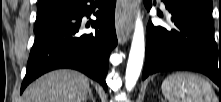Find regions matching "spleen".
I'll return each mask as SVG.
<instances>
[{
    "label": "spleen",
    "instance_id": "obj_1",
    "mask_svg": "<svg viewBox=\"0 0 221 102\" xmlns=\"http://www.w3.org/2000/svg\"><path fill=\"white\" fill-rule=\"evenodd\" d=\"M162 93L169 102H217L210 83L189 72L170 74L162 83Z\"/></svg>",
    "mask_w": 221,
    "mask_h": 102
}]
</instances>
